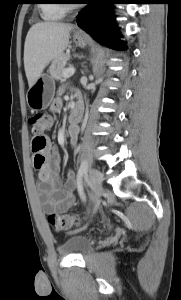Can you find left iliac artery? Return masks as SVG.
<instances>
[{
	"instance_id": "44dca946",
	"label": "left iliac artery",
	"mask_w": 181,
	"mask_h": 300,
	"mask_svg": "<svg viewBox=\"0 0 181 300\" xmlns=\"http://www.w3.org/2000/svg\"><path fill=\"white\" fill-rule=\"evenodd\" d=\"M87 170H88V161L86 159H84L81 162V165H80V167L78 169V173H77V190H78L79 196L83 202L85 201L86 197H85V193L83 190L82 177L87 172Z\"/></svg>"
}]
</instances>
